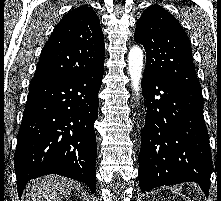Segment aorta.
Wrapping results in <instances>:
<instances>
[{
	"label": "aorta",
	"mask_w": 221,
	"mask_h": 201,
	"mask_svg": "<svg viewBox=\"0 0 221 201\" xmlns=\"http://www.w3.org/2000/svg\"><path fill=\"white\" fill-rule=\"evenodd\" d=\"M143 68V52L141 48L135 46L128 54V71L131 79V86L135 94L139 95L140 82Z\"/></svg>",
	"instance_id": "obj_1"
}]
</instances>
